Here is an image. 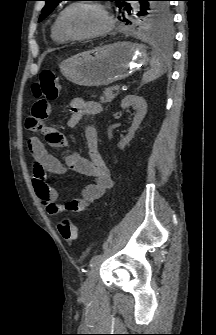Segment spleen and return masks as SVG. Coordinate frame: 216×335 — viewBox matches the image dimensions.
<instances>
[{
	"mask_svg": "<svg viewBox=\"0 0 216 335\" xmlns=\"http://www.w3.org/2000/svg\"><path fill=\"white\" fill-rule=\"evenodd\" d=\"M151 55L150 70L145 72L142 77L144 83L151 82L160 77L166 72L167 67L169 66L165 56L156 46H154Z\"/></svg>",
	"mask_w": 216,
	"mask_h": 335,
	"instance_id": "3e777b00",
	"label": "spleen"
}]
</instances>
